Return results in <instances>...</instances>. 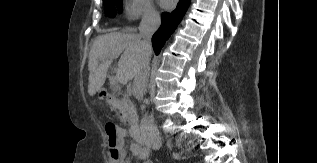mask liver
Segmentation results:
<instances>
[{
	"label": "liver",
	"instance_id": "liver-1",
	"mask_svg": "<svg viewBox=\"0 0 317 163\" xmlns=\"http://www.w3.org/2000/svg\"><path fill=\"white\" fill-rule=\"evenodd\" d=\"M140 35L129 29L123 32H111L99 35L91 47L89 53V84L88 93L95 95L105 83L107 71L112 58H118L117 73L120 83L126 84L136 77L142 59L144 49Z\"/></svg>",
	"mask_w": 317,
	"mask_h": 163
}]
</instances>
